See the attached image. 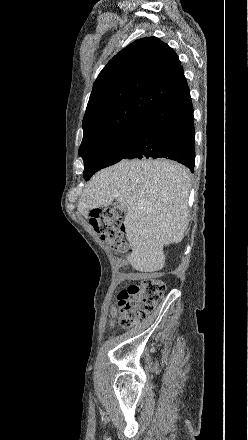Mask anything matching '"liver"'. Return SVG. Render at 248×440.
Wrapping results in <instances>:
<instances>
[{"label": "liver", "instance_id": "obj_1", "mask_svg": "<svg viewBox=\"0 0 248 440\" xmlns=\"http://www.w3.org/2000/svg\"><path fill=\"white\" fill-rule=\"evenodd\" d=\"M190 188L189 170L173 161L122 160L92 177L78 210L87 218L90 210L116 199L126 209L131 265L154 273L165 264L164 246L179 243L187 231Z\"/></svg>", "mask_w": 248, "mask_h": 440}]
</instances>
